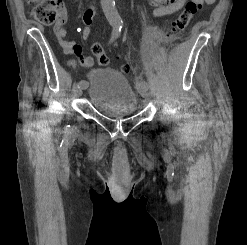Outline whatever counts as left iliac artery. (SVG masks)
I'll return each mask as SVG.
<instances>
[{"label":"left iliac artery","mask_w":247,"mask_h":245,"mask_svg":"<svg viewBox=\"0 0 247 245\" xmlns=\"http://www.w3.org/2000/svg\"><path fill=\"white\" fill-rule=\"evenodd\" d=\"M140 84H146V82L145 81H140Z\"/></svg>","instance_id":"obj_1"}]
</instances>
